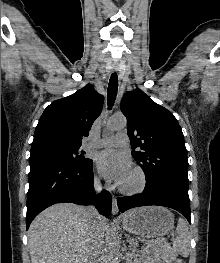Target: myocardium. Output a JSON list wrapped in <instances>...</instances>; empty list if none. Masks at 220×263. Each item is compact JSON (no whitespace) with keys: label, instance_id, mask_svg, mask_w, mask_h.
Masks as SVG:
<instances>
[{"label":"myocardium","instance_id":"1","mask_svg":"<svg viewBox=\"0 0 220 263\" xmlns=\"http://www.w3.org/2000/svg\"><path fill=\"white\" fill-rule=\"evenodd\" d=\"M132 172L135 173L138 177L137 185L131 188H127V187L119 185V188H118L119 192L126 196H133V195L140 194L141 192L144 191L146 184H147V177L142 168L134 167L132 169Z\"/></svg>","mask_w":220,"mask_h":263}]
</instances>
